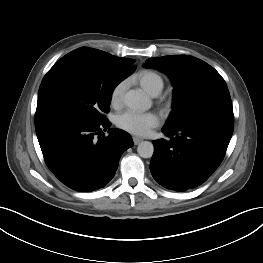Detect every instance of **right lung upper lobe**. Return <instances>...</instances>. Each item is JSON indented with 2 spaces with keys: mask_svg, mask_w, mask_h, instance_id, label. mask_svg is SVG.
Here are the masks:
<instances>
[{
  "mask_svg": "<svg viewBox=\"0 0 263 263\" xmlns=\"http://www.w3.org/2000/svg\"><path fill=\"white\" fill-rule=\"evenodd\" d=\"M72 52L87 54L89 56L98 58V59L106 61V62H110V63H114V64H118V65H124V66H127L129 68L136 69L135 66H132V64L135 62V60L130 59V58L116 57V56H113V55H111L107 52L101 51V50L90 49V48H79V49H76Z\"/></svg>",
  "mask_w": 263,
  "mask_h": 263,
  "instance_id": "right-lung-upper-lobe-1",
  "label": "right lung upper lobe"
}]
</instances>
